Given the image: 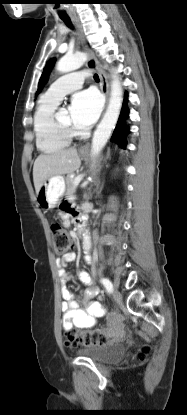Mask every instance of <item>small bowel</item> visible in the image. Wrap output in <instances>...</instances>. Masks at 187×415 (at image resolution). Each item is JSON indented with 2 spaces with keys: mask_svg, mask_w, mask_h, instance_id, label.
<instances>
[{
  "mask_svg": "<svg viewBox=\"0 0 187 415\" xmlns=\"http://www.w3.org/2000/svg\"><path fill=\"white\" fill-rule=\"evenodd\" d=\"M63 210L66 213L71 214L75 219L78 218L77 211L65 206ZM75 259L74 253H66L61 258L56 260V265L61 278L62 283H66L70 280V274L65 270V266ZM79 279L85 283L88 287L85 290L83 296L77 299L75 295L65 286L61 289L63 311L62 325L64 329H70L77 327L81 329H89L95 325L98 318L106 315L105 307L94 298L100 293L99 288L92 282L91 277L86 272H79ZM115 316L109 317V322L114 323Z\"/></svg>",
  "mask_w": 187,
  "mask_h": 415,
  "instance_id": "1",
  "label": "small bowel"
}]
</instances>
